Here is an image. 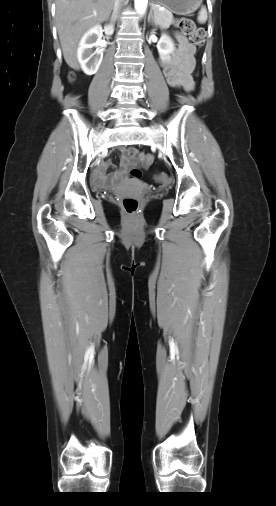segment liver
<instances>
[{
    "instance_id": "liver-1",
    "label": "liver",
    "mask_w": 276,
    "mask_h": 506,
    "mask_svg": "<svg viewBox=\"0 0 276 506\" xmlns=\"http://www.w3.org/2000/svg\"><path fill=\"white\" fill-rule=\"evenodd\" d=\"M115 0H56V26L64 59L79 69L77 46L82 34L106 21Z\"/></svg>"
}]
</instances>
